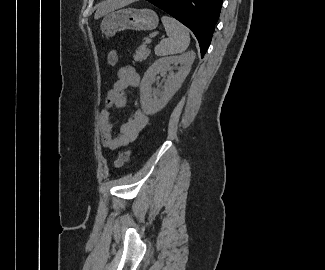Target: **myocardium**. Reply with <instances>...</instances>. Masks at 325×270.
<instances>
[{
  "mask_svg": "<svg viewBox=\"0 0 325 270\" xmlns=\"http://www.w3.org/2000/svg\"><path fill=\"white\" fill-rule=\"evenodd\" d=\"M126 1L132 2V1H137V0H126Z\"/></svg>",
  "mask_w": 325,
  "mask_h": 270,
  "instance_id": "myocardium-1",
  "label": "myocardium"
}]
</instances>
